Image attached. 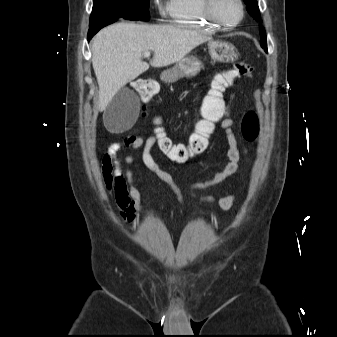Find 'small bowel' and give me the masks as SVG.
I'll use <instances>...</instances> for the list:
<instances>
[{
    "mask_svg": "<svg viewBox=\"0 0 337 337\" xmlns=\"http://www.w3.org/2000/svg\"><path fill=\"white\" fill-rule=\"evenodd\" d=\"M231 114V106L228 105L224 110V118L221 122V128L225 133L228 144L226 152L228 163L221 171L215 173L210 178L195 182L189 187L191 197L204 203L217 202L222 210H229L234 206L236 195H225L217 200L212 195H200L199 192L223 182L236 173L239 168L242 152L244 154L247 153L246 149H243V151L239 149L237 138L233 133L234 120ZM156 144H158L156 135H152L146 139L130 135L124 139V145L130 149L127 155L120 158L118 156L119 145H113L101 159V174L105 190L108 192L110 199L118 207L121 219L130 224L135 223L136 214L141 206V193L135 186L134 175L130 168L135 161L134 154L138 150H141V161L145 167L169 186L180 204L184 203L181 188L175 182L173 176L160 167L153 155V149Z\"/></svg>",
    "mask_w": 337,
    "mask_h": 337,
    "instance_id": "1",
    "label": "small bowel"
}]
</instances>
